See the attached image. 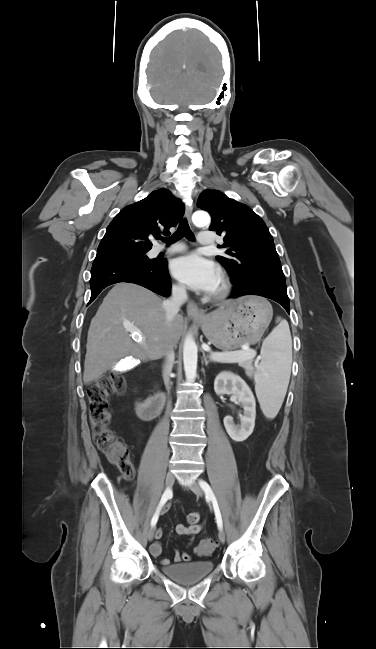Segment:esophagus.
I'll use <instances>...</instances> for the list:
<instances>
[{
  "label": "esophagus",
  "mask_w": 376,
  "mask_h": 649,
  "mask_svg": "<svg viewBox=\"0 0 376 649\" xmlns=\"http://www.w3.org/2000/svg\"><path fill=\"white\" fill-rule=\"evenodd\" d=\"M192 211H193V206L191 204H188L185 210V217L189 221L191 219ZM187 314L188 316L195 319L201 318L203 316V312L198 308V306L193 301H190L187 304Z\"/></svg>",
  "instance_id": "esophagus-1"
}]
</instances>
